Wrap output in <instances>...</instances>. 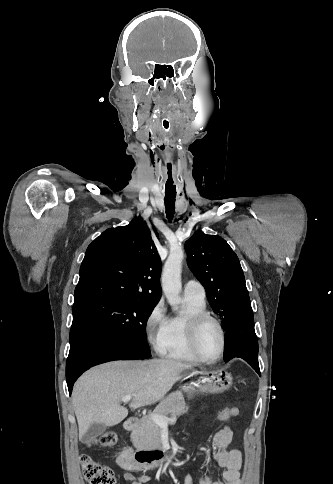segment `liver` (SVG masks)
<instances>
[{
  "mask_svg": "<svg viewBox=\"0 0 333 484\" xmlns=\"http://www.w3.org/2000/svg\"><path fill=\"white\" fill-rule=\"evenodd\" d=\"M190 364L168 359L114 361L93 367L75 383L72 405L79 439L93 423L114 426L128 415L121 399L133 395L132 409L151 405L170 391L180 375L193 372Z\"/></svg>",
  "mask_w": 333,
  "mask_h": 484,
  "instance_id": "1",
  "label": "liver"
}]
</instances>
